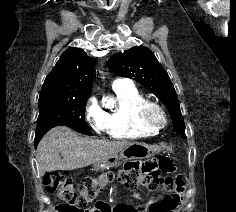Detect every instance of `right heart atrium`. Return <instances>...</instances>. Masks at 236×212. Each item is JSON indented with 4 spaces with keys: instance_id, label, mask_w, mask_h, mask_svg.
<instances>
[{
    "instance_id": "obj_1",
    "label": "right heart atrium",
    "mask_w": 236,
    "mask_h": 212,
    "mask_svg": "<svg viewBox=\"0 0 236 212\" xmlns=\"http://www.w3.org/2000/svg\"><path fill=\"white\" fill-rule=\"evenodd\" d=\"M85 116L91 127L97 132L105 131V114L95 98H90L85 109Z\"/></svg>"
}]
</instances>
